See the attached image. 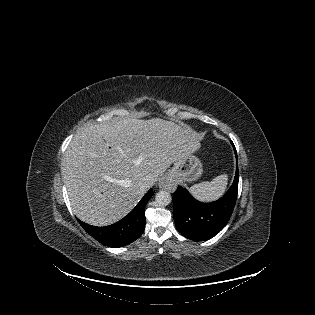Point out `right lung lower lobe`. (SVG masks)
<instances>
[{"mask_svg":"<svg viewBox=\"0 0 315 315\" xmlns=\"http://www.w3.org/2000/svg\"><path fill=\"white\" fill-rule=\"evenodd\" d=\"M153 195L150 189L136 207L120 221L105 227H96L78 220L84 230L108 247L126 246L138 239L145 228V205Z\"/></svg>","mask_w":315,"mask_h":315,"instance_id":"right-lung-lower-lobe-1","label":"right lung lower lobe"}]
</instances>
